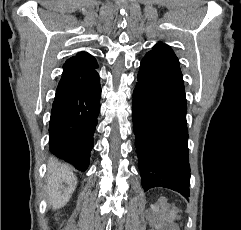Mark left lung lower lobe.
<instances>
[{
  "label": "left lung lower lobe",
  "instance_id": "1",
  "mask_svg": "<svg viewBox=\"0 0 241 230\" xmlns=\"http://www.w3.org/2000/svg\"><path fill=\"white\" fill-rule=\"evenodd\" d=\"M133 92V129L141 182L189 196L187 101L179 64L147 53Z\"/></svg>",
  "mask_w": 241,
  "mask_h": 230
}]
</instances>
